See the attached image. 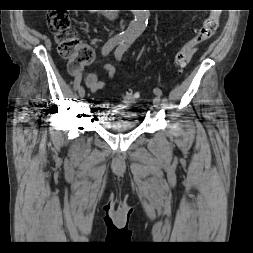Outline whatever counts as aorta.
I'll use <instances>...</instances> for the list:
<instances>
[{"instance_id":"aorta-1","label":"aorta","mask_w":253,"mask_h":253,"mask_svg":"<svg viewBox=\"0 0 253 253\" xmlns=\"http://www.w3.org/2000/svg\"><path fill=\"white\" fill-rule=\"evenodd\" d=\"M133 14L134 20L123 32V37L130 40H135L144 32L150 16L149 10H133Z\"/></svg>"}]
</instances>
